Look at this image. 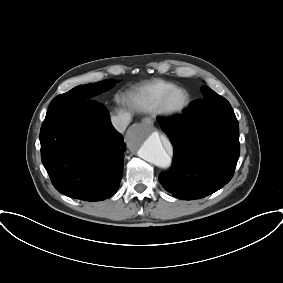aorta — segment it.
Segmentation results:
<instances>
[{
  "label": "aorta",
  "instance_id": "1",
  "mask_svg": "<svg viewBox=\"0 0 283 283\" xmlns=\"http://www.w3.org/2000/svg\"><path fill=\"white\" fill-rule=\"evenodd\" d=\"M127 143L147 162L163 169L171 166V157L165 150L160 135L150 126L135 125L128 134Z\"/></svg>",
  "mask_w": 283,
  "mask_h": 283
}]
</instances>
